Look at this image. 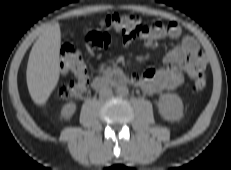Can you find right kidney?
I'll use <instances>...</instances> for the list:
<instances>
[{"label": "right kidney", "mask_w": 231, "mask_h": 170, "mask_svg": "<svg viewBox=\"0 0 231 170\" xmlns=\"http://www.w3.org/2000/svg\"><path fill=\"white\" fill-rule=\"evenodd\" d=\"M75 111H76V104L72 102L67 103L62 107L61 116L64 119H70L72 115L75 113Z\"/></svg>", "instance_id": "right-kidney-1"}]
</instances>
